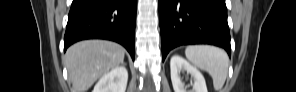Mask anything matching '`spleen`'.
I'll return each instance as SVG.
<instances>
[{
    "instance_id": "obj_1",
    "label": "spleen",
    "mask_w": 296,
    "mask_h": 92,
    "mask_svg": "<svg viewBox=\"0 0 296 92\" xmlns=\"http://www.w3.org/2000/svg\"><path fill=\"white\" fill-rule=\"evenodd\" d=\"M185 55L194 66L210 74L216 90L223 87L229 67L225 51L209 45H191L186 48Z\"/></svg>"
}]
</instances>
